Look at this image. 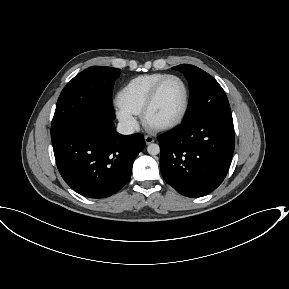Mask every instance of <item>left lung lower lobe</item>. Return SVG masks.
<instances>
[{
  "mask_svg": "<svg viewBox=\"0 0 289 289\" xmlns=\"http://www.w3.org/2000/svg\"><path fill=\"white\" fill-rule=\"evenodd\" d=\"M157 139L162 176L178 193L204 196L224 180L234 151L232 121L199 117Z\"/></svg>",
  "mask_w": 289,
  "mask_h": 289,
  "instance_id": "1",
  "label": "left lung lower lobe"
}]
</instances>
